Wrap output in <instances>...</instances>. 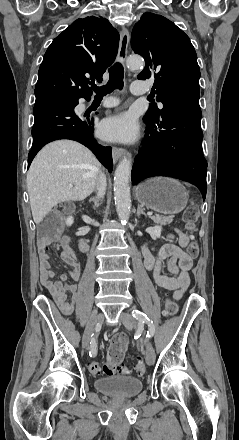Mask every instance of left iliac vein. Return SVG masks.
<instances>
[{"label": "left iliac vein", "instance_id": "4c4485c4", "mask_svg": "<svg viewBox=\"0 0 239 440\" xmlns=\"http://www.w3.org/2000/svg\"><path fill=\"white\" fill-rule=\"evenodd\" d=\"M120 320L123 325L128 329H133L136 326V320L134 317L126 312H122L120 315ZM146 346V362L148 365H153L155 363L156 354L151 342L148 339H145Z\"/></svg>", "mask_w": 239, "mask_h": 440}]
</instances>
